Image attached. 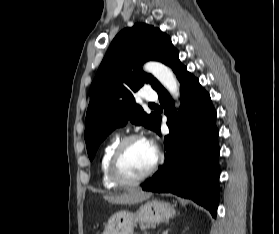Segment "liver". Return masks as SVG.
Listing matches in <instances>:
<instances>
[{"label": "liver", "instance_id": "1", "mask_svg": "<svg viewBox=\"0 0 279 234\" xmlns=\"http://www.w3.org/2000/svg\"><path fill=\"white\" fill-rule=\"evenodd\" d=\"M151 196L150 193H145L139 190H131L127 193L119 195H105L103 198L112 204L131 205L142 202Z\"/></svg>", "mask_w": 279, "mask_h": 234}]
</instances>
